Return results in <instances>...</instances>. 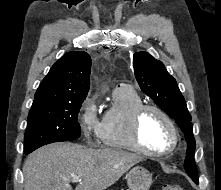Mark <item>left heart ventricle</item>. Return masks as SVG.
<instances>
[{"label": "left heart ventricle", "instance_id": "b2bd125f", "mask_svg": "<svg viewBox=\"0 0 221 190\" xmlns=\"http://www.w3.org/2000/svg\"><path fill=\"white\" fill-rule=\"evenodd\" d=\"M140 137L153 150H164L172 144V133L165 120L156 112L148 111L141 120Z\"/></svg>", "mask_w": 221, "mask_h": 190}]
</instances>
